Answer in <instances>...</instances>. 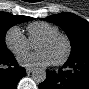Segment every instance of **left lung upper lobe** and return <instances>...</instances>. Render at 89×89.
Returning <instances> with one entry per match:
<instances>
[{"mask_svg":"<svg viewBox=\"0 0 89 89\" xmlns=\"http://www.w3.org/2000/svg\"><path fill=\"white\" fill-rule=\"evenodd\" d=\"M44 20L58 25L67 34L71 43L69 59H74L82 54H89L88 21L69 12L51 15Z\"/></svg>","mask_w":89,"mask_h":89,"instance_id":"left-lung-upper-lobe-1","label":"left lung upper lobe"}]
</instances>
